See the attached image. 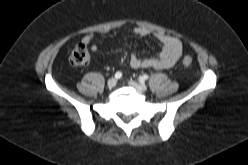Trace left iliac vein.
Here are the masks:
<instances>
[{"label": "left iliac vein", "instance_id": "1", "mask_svg": "<svg viewBox=\"0 0 248 165\" xmlns=\"http://www.w3.org/2000/svg\"><path fill=\"white\" fill-rule=\"evenodd\" d=\"M129 84L138 91L145 92L147 90V86L143 83L137 81H129Z\"/></svg>", "mask_w": 248, "mask_h": 165}]
</instances>
